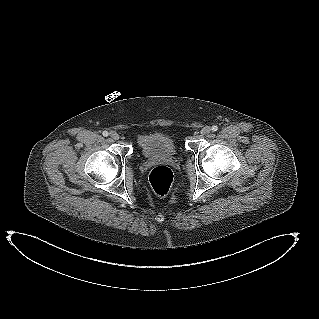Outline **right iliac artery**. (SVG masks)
Instances as JSON below:
<instances>
[{
	"label": "right iliac artery",
	"mask_w": 319,
	"mask_h": 319,
	"mask_svg": "<svg viewBox=\"0 0 319 319\" xmlns=\"http://www.w3.org/2000/svg\"><path fill=\"white\" fill-rule=\"evenodd\" d=\"M102 134H103V136L107 137L109 133L107 131H103Z\"/></svg>",
	"instance_id": "obj_1"
}]
</instances>
